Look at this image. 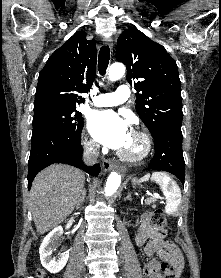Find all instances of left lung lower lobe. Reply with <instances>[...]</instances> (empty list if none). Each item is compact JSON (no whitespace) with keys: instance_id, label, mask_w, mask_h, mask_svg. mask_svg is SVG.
<instances>
[{"instance_id":"0a47b994","label":"left lung lower lobe","mask_w":221,"mask_h":278,"mask_svg":"<svg viewBox=\"0 0 221 278\" xmlns=\"http://www.w3.org/2000/svg\"><path fill=\"white\" fill-rule=\"evenodd\" d=\"M154 138L155 154L145 169L167 171L177 176L184 185L185 162L182 152V132L164 130Z\"/></svg>"}]
</instances>
